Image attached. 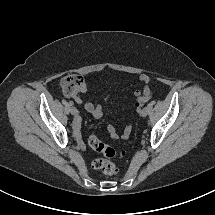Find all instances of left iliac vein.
Instances as JSON below:
<instances>
[{
	"instance_id": "4c4485c4",
	"label": "left iliac vein",
	"mask_w": 215,
	"mask_h": 215,
	"mask_svg": "<svg viewBox=\"0 0 215 215\" xmlns=\"http://www.w3.org/2000/svg\"><path fill=\"white\" fill-rule=\"evenodd\" d=\"M147 114H148V111L146 108H144L143 111L140 113V115L143 117L147 116Z\"/></svg>"
}]
</instances>
